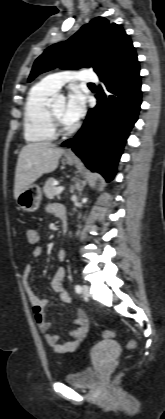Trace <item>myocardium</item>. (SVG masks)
<instances>
[{"label":"myocardium","instance_id":"myocardium-1","mask_svg":"<svg viewBox=\"0 0 165 419\" xmlns=\"http://www.w3.org/2000/svg\"><path fill=\"white\" fill-rule=\"evenodd\" d=\"M49 118L52 124V127L57 135H66L69 134L73 127L68 123L63 122L54 112L53 108L50 106L49 110Z\"/></svg>","mask_w":165,"mask_h":419}]
</instances>
